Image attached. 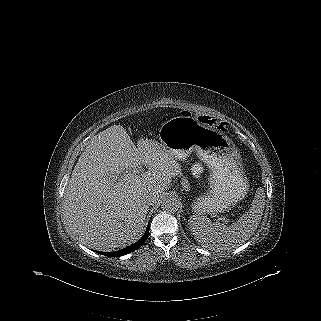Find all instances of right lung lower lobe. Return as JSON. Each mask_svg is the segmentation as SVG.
I'll list each match as a JSON object with an SVG mask.
<instances>
[{
  "label": "right lung lower lobe",
  "instance_id": "98d812e1",
  "mask_svg": "<svg viewBox=\"0 0 321 321\" xmlns=\"http://www.w3.org/2000/svg\"><path fill=\"white\" fill-rule=\"evenodd\" d=\"M149 229H150V224H148L144 236L138 242L133 244L132 246H129V247L125 248V249H122V250H119V251H115V252H107V253L99 252V253L102 254V255H105V256L118 257V256H123L125 254H128L130 252H133V251H135L136 249H138L139 247H141L144 244V242L146 241V239L148 237Z\"/></svg>",
  "mask_w": 321,
  "mask_h": 321
}]
</instances>
